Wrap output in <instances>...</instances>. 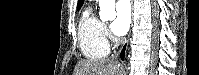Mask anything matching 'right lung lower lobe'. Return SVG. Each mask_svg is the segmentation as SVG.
Returning a JSON list of instances; mask_svg holds the SVG:
<instances>
[{
    "label": "right lung lower lobe",
    "mask_w": 199,
    "mask_h": 75,
    "mask_svg": "<svg viewBox=\"0 0 199 75\" xmlns=\"http://www.w3.org/2000/svg\"><path fill=\"white\" fill-rule=\"evenodd\" d=\"M124 51H125V46H124V48H123V50H122V52H121V58H122V60H123V58H124Z\"/></svg>",
    "instance_id": "1"
}]
</instances>
